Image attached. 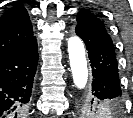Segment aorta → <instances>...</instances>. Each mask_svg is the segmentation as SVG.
I'll use <instances>...</instances> for the list:
<instances>
[{
	"label": "aorta",
	"mask_w": 133,
	"mask_h": 118,
	"mask_svg": "<svg viewBox=\"0 0 133 118\" xmlns=\"http://www.w3.org/2000/svg\"><path fill=\"white\" fill-rule=\"evenodd\" d=\"M68 53L73 82L77 89L83 90L88 82V67L85 47L77 36L68 39Z\"/></svg>",
	"instance_id": "aorta-1"
}]
</instances>
